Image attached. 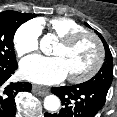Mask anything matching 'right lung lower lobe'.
I'll return each instance as SVG.
<instances>
[{
  "mask_svg": "<svg viewBox=\"0 0 117 117\" xmlns=\"http://www.w3.org/2000/svg\"><path fill=\"white\" fill-rule=\"evenodd\" d=\"M17 69V63L0 67V117H14L16 113L15 96L19 91H31L28 82L7 83L9 77Z\"/></svg>",
  "mask_w": 117,
  "mask_h": 117,
  "instance_id": "obj_1",
  "label": "right lung lower lobe"
}]
</instances>
